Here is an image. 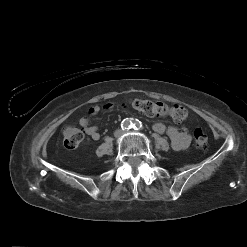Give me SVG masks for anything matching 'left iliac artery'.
<instances>
[{
	"mask_svg": "<svg viewBox=\"0 0 247 247\" xmlns=\"http://www.w3.org/2000/svg\"><path fill=\"white\" fill-rule=\"evenodd\" d=\"M132 127L134 130H141L143 128V125L141 121L135 120Z\"/></svg>",
	"mask_w": 247,
	"mask_h": 247,
	"instance_id": "obj_1",
	"label": "left iliac artery"
}]
</instances>
